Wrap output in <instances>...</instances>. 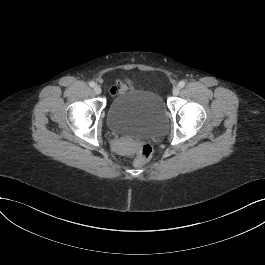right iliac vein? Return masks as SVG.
<instances>
[{
  "mask_svg": "<svg viewBox=\"0 0 265 265\" xmlns=\"http://www.w3.org/2000/svg\"><path fill=\"white\" fill-rule=\"evenodd\" d=\"M101 87L100 86H98V85H96V86H94V92L96 93V94H100L101 93Z\"/></svg>",
  "mask_w": 265,
  "mask_h": 265,
  "instance_id": "right-iliac-vein-1",
  "label": "right iliac vein"
}]
</instances>
